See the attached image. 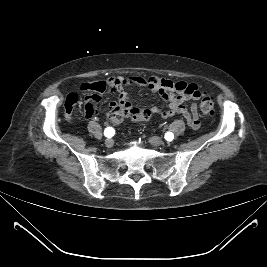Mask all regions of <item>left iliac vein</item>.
<instances>
[{"label": "left iliac vein", "instance_id": "4c4485c4", "mask_svg": "<svg viewBox=\"0 0 267 267\" xmlns=\"http://www.w3.org/2000/svg\"><path fill=\"white\" fill-rule=\"evenodd\" d=\"M149 142L155 147L162 146L164 144L163 140L157 136L150 137Z\"/></svg>", "mask_w": 267, "mask_h": 267}]
</instances>
